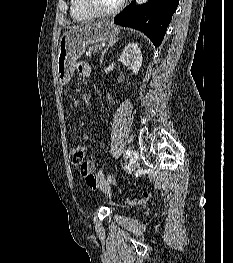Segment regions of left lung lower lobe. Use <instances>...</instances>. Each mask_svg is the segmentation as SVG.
Instances as JSON below:
<instances>
[{"instance_id":"1","label":"left lung lower lobe","mask_w":233,"mask_h":263,"mask_svg":"<svg viewBox=\"0 0 233 263\" xmlns=\"http://www.w3.org/2000/svg\"><path fill=\"white\" fill-rule=\"evenodd\" d=\"M178 4L179 0H149L140 6L132 2L114 22L142 31L159 47Z\"/></svg>"}]
</instances>
